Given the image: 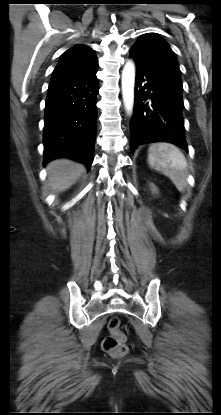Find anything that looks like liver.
<instances>
[{
    "label": "liver",
    "mask_w": 221,
    "mask_h": 415,
    "mask_svg": "<svg viewBox=\"0 0 221 415\" xmlns=\"http://www.w3.org/2000/svg\"><path fill=\"white\" fill-rule=\"evenodd\" d=\"M48 183L52 190L62 192L70 188L82 175L83 165L69 159H57L47 165Z\"/></svg>",
    "instance_id": "liver-1"
}]
</instances>
